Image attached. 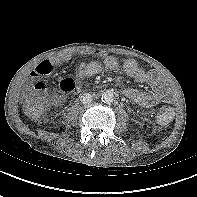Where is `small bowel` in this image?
<instances>
[{"mask_svg": "<svg viewBox=\"0 0 197 197\" xmlns=\"http://www.w3.org/2000/svg\"><path fill=\"white\" fill-rule=\"evenodd\" d=\"M93 54L103 59V62L91 61L80 64L78 67V75L80 77L94 76L104 69L108 71L122 69L127 76L135 79L139 83L149 84L152 88L151 92L126 88L124 95L134 103L143 107H151L160 101L173 99V91L168 82L155 70L145 71L133 59H126L121 62L114 56L107 55L103 51H95ZM70 59L71 55L65 54L55 59L45 60L38 64L31 75L32 77L49 75L56 65L66 63L70 61Z\"/></svg>", "mask_w": 197, "mask_h": 197, "instance_id": "1", "label": "small bowel"}]
</instances>
